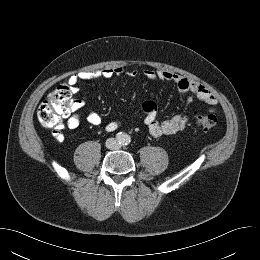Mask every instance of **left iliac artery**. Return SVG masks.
Segmentation results:
<instances>
[{"label": "left iliac artery", "instance_id": "left-iliac-artery-1", "mask_svg": "<svg viewBox=\"0 0 260 260\" xmlns=\"http://www.w3.org/2000/svg\"><path fill=\"white\" fill-rule=\"evenodd\" d=\"M130 143V137H126V139H125V144H129Z\"/></svg>", "mask_w": 260, "mask_h": 260}]
</instances>
